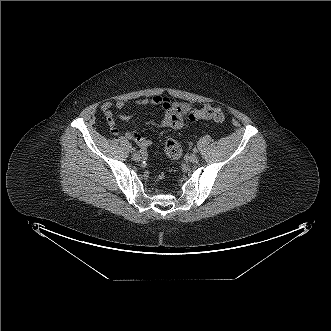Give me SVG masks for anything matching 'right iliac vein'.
Wrapping results in <instances>:
<instances>
[{
    "label": "right iliac vein",
    "instance_id": "obj_1",
    "mask_svg": "<svg viewBox=\"0 0 331 331\" xmlns=\"http://www.w3.org/2000/svg\"><path fill=\"white\" fill-rule=\"evenodd\" d=\"M133 159L135 161H140L142 159V156L139 152H136V153L133 154Z\"/></svg>",
    "mask_w": 331,
    "mask_h": 331
}]
</instances>
